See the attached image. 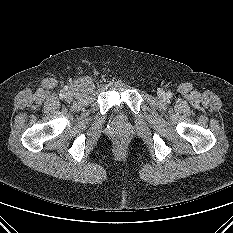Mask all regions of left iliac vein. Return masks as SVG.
<instances>
[{
  "mask_svg": "<svg viewBox=\"0 0 233 233\" xmlns=\"http://www.w3.org/2000/svg\"><path fill=\"white\" fill-rule=\"evenodd\" d=\"M159 97H160L161 99H164V98H165V93H164V92H160V93H159Z\"/></svg>",
  "mask_w": 233,
  "mask_h": 233,
  "instance_id": "left-iliac-vein-1",
  "label": "left iliac vein"
}]
</instances>
